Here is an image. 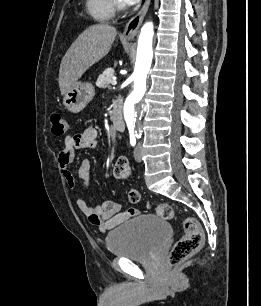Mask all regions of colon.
Wrapping results in <instances>:
<instances>
[{"label":"colon","instance_id":"1","mask_svg":"<svg viewBox=\"0 0 261 306\" xmlns=\"http://www.w3.org/2000/svg\"><path fill=\"white\" fill-rule=\"evenodd\" d=\"M52 132L54 135H64L68 129L67 121L64 116L57 111L50 115ZM113 175L117 180H125L131 175V166L129 161L120 157L114 167ZM129 199L133 203L140 201V194L137 190L129 192ZM156 213L165 220H172L175 217L174 208L168 203H160L156 206ZM184 235L174 244L169 256L168 264L174 267L183 260L191 256L203 244V231L199 222L192 217H188L183 221Z\"/></svg>","mask_w":261,"mask_h":306}]
</instances>
